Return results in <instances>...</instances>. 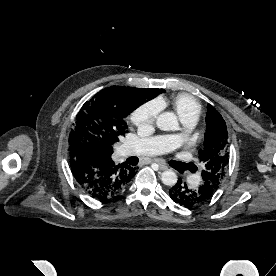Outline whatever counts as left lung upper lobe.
I'll use <instances>...</instances> for the list:
<instances>
[{
    "label": "left lung upper lobe",
    "mask_w": 276,
    "mask_h": 276,
    "mask_svg": "<svg viewBox=\"0 0 276 276\" xmlns=\"http://www.w3.org/2000/svg\"><path fill=\"white\" fill-rule=\"evenodd\" d=\"M206 123L204 147L199 150V159L204 165L201 176L202 183H208L215 192L224 179L229 162L228 133L222 116L210 104Z\"/></svg>",
    "instance_id": "1"
}]
</instances>
